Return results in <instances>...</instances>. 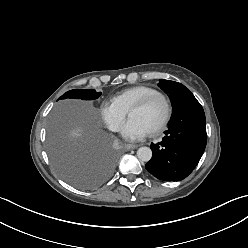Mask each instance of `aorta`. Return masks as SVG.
<instances>
[{"mask_svg": "<svg viewBox=\"0 0 248 248\" xmlns=\"http://www.w3.org/2000/svg\"><path fill=\"white\" fill-rule=\"evenodd\" d=\"M137 157L143 162H148L152 157V151L149 147H140L137 150Z\"/></svg>", "mask_w": 248, "mask_h": 248, "instance_id": "762f6f07", "label": "aorta"}]
</instances>
